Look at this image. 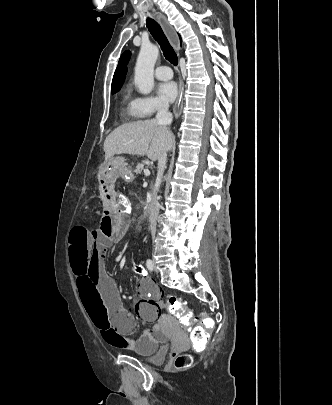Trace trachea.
<instances>
[{
  "instance_id": "trachea-1",
  "label": "trachea",
  "mask_w": 332,
  "mask_h": 405,
  "mask_svg": "<svg viewBox=\"0 0 332 405\" xmlns=\"http://www.w3.org/2000/svg\"><path fill=\"white\" fill-rule=\"evenodd\" d=\"M146 25L153 38L160 45L165 59L176 66L178 64L177 54L175 53L173 47L170 45L161 26L151 18H147Z\"/></svg>"
}]
</instances>
